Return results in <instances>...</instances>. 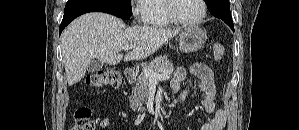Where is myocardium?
Segmentation results:
<instances>
[{
  "label": "myocardium",
  "instance_id": "1",
  "mask_svg": "<svg viewBox=\"0 0 299 130\" xmlns=\"http://www.w3.org/2000/svg\"><path fill=\"white\" fill-rule=\"evenodd\" d=\"M175 0H166L165 2V8H166V13L169 17V19L177 25L183 26V27H193L198 24H200L206 17L207 14V6L205 0H198L201 6V13L198 18L187 21V20H182L177 17L176 13L174 12V3Z\"/></svg>",
  "mask_w": 299,
  "mask_h": 130
}]
</instances>
